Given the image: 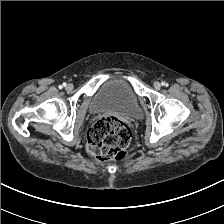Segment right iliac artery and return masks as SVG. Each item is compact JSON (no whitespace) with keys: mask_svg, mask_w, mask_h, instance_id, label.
I'll return each mask as SVG.
<instances>
[{"mask_svg":"<svg viewBox=\"0 0 224 224\" xmlns=\"http://www.w3.org/2000/svg\"><path fill=\"white\" fill-rule=\"evenodd\" d=\"M65 86H66V83H63L62 86H60V88L65 87Z\"/></svg>","mask_w":224,"mask_h":224,"instance_id":"1","label":"right iliac artery"}]
</instances>
